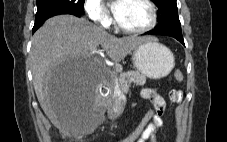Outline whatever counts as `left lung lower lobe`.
<instances>
[{
	"label": "left lung lower lobe",
	"mask_w": 227,
	"mask_h": 142,
	"mask_svg": "<svg viewBox=\"0 0 227 142\" xmlns=\"http://www.w3.org/2000/svg\"><path fill=\"white\" fill-rule=\"evenodd\" d=\"M145 34H151V35H166V36H171L176 38L178 41H180L183 45L184 40L182 36V32L178 30H172V29H157L155 28L154 30H151Z\"/></svg>",
	"instance_id": "1"
}]
</instances>
